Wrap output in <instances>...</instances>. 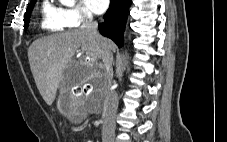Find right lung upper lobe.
I'll list each match as a JSON object with an SVG mask.
<instances>
[{"label":"right lung upper lobe","mask_w":227,"mask_h":142,"mask_svg":"<svg viewBox=\"0 0 227 142\" xmlns=\"http://www.w3.org/2000/svg\"><path fill=\"white\" fill-rule=\"evenodd\" d=\"M35 0H31V3L34 2Z\"/></svg>","instance_id":"right-lung-upper-lobe-1"}]
</instances>
